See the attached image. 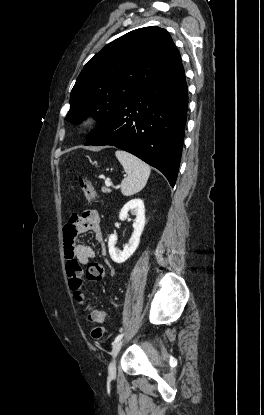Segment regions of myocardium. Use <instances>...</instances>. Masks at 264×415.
<instances>
[{
  "label": "myocardium",
  "mask_w": 264,
  "mask_h": 415,
  "mask_svg": "<svg viewBox=\"0 0 264 415\" xmlns=\"http://www.w3.org/2000/svg\"><path fill=\"white\" fill-rule=\"evenodd\" d=\"M97 120L98 118L96 115L87 114L80 119L78 126L80 129L86 130L93 127L97 123Z\"/></svg>",
  "instance_id": "obj_1"
}]
</instances>
